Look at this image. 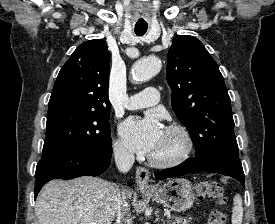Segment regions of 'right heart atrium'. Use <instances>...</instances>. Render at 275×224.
I'll list each match as a JSON object with an SVG mask.
<instances>
[{
	"label": "right heart atrium",
	"instance_id": "right-heart-atrium-1",
	"mask_svg": "<svg viewBox=\"0 0 275 224\" xmlns=\"http://www.w3.org/2000/svg\"><path fill=\"white\" fill-rule=\"evenodd\" d=\"M113 151L115 155L119 158H129L130 153L127 150V148L123 145V143L120 140H115L113 142Z\"/></svg>",
	"mask_w": 275,
	"mask_h": 224
}]
</instances>
